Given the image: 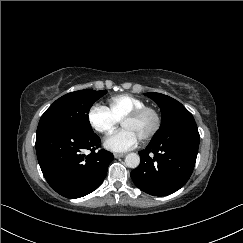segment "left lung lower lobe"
Returning <instances> with one entry per match:
<instances>
[{
    "mask_svg": "<svg viewBox=\"0 0 243 243\" xmlns=\"http://www.w3.org/2000/svg\"><path fill=\"white\" fill-rule=\"evenodd\" d=\"M199 141L195 121L153 139L139 152L140 165L131 172L134 184L154 196H165L179 190L193 172Z\"/></svg>",
    "mask_w": 243,
    "mask_h": 243,
    "instance_id": "left-lung-lower-lobe-1",
    "label": "left lung lower lobe"
}]
</instances>
